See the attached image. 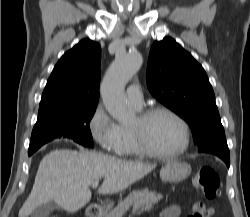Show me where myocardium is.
Wrapping results in <instances>:
<instances>
[{
    "label": "myocardium",
    "mask_w": 250,
    "mask_h": 217,
    "mask_svg": "<svg viewBox=\"0 0 250 217\" xmlns=\"http://www.w3.org/2000/svg\"><path fill=\"white\" fill-rule=\"evenodd\" d=\"M158 113H165L173 117L181 126L183 131V144L180 148H178L175 151L163 153L158 150H156L147 140L143 128L134 129L132 128L133 135L135 137L136 143L140 150L150 157L158 158V159H170L177 157L181 154H183L190 144V128L188 123L185 121V119L179 115L176 111L173 109L164 106V105H155L151 106L145 110H143L138 118L142 126H144L148 120Z\"/></svg>",
    "instance_id": "obj_1"
}]
</instances>
